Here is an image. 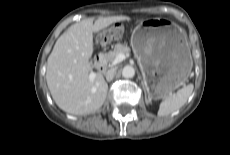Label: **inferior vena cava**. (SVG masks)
I'll use <instances>...</instances> for the list:
<instances>
[{
    "instance_id": "inferior-vena-cava-1",
    "label": "inferior vena cava",
    "mask_w": 230,
    "mask_h": 155,
    "mask_svg": "<svg viewBox=\"0 0 230 155\" xmlns=\"http://www.w3.org/2000/svg\"><path fill=\"white\" fill-rule=\"evenodd\" d=\"M115 74H116V69L115 68H112V69L108 70L107 73H106L107 81H111L114 78Z\"/></svg>"
}]
</instances>
